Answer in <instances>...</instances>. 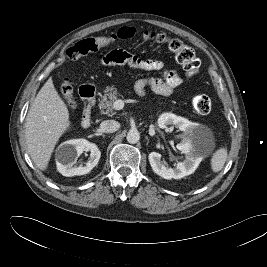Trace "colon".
I'll return each instance as SVG.
<instances>
[{"mask_svg": "<svg viewBox=\"0 0 267 267\" xmlns=\"http://www.w3.org/2000/svg\"><path fill=\"white\" fill-rule=\"evenodd\" d=\"M134 36V28L123 27L119 29L117 33L110 36L85 38L67 50V58L69 61H74L88 53L96 52L114 41L127 40ZM142 38L144 40L166 45L170 52L175 56L177 62L182 66L186 75L193 76L197 72L200 62L194 50L182 41L170 38L164 33L156 31H146L143 33ZM60 92L67 106L70 109H74L76 103L73 95V87L67 78L62 80ZM191 104L193 109L199 114H207L211 110V100L207 95L200 94L194 96L191 100Z\"/></svg>", "mask_w": 267, "mask_h": 267, "instance_id": "obj_1", "label": "colon"}]
</instances>
